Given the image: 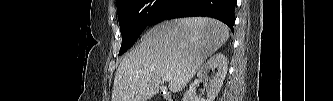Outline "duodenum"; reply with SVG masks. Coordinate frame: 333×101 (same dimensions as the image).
<instances>
[{
    "label": "duodenum",
    "mask_w": 333,
    "mask_h": 101,
    "mask_svg": "<svg viewBox=\"0 0 333 101\" xmlns=\"http://www.w3.org/2000/svg\"><path fill=\"white\" fill-rule=\"evenodd\" d=\"M165 99H166L167 101H172V99L169 98V97H167V96H165Z\"/></svg>",
    "instance_id": "410a0bca"
}]
</instances>
